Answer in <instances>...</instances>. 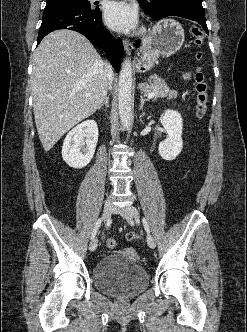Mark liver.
<instances>
[{
	"instance_id": "obj_1",
	"label": "liver",
	"mask_w": 247,
	"mask_h": 332,
	"mask_svg": "<svg viewBox=\"0 0 247 332\" xmlns=\"http://www.w3.org/2000/svg\"><path fill=\"white\" fill-rule=\"evenodd\" d=\"M31 86L37 132L48 152L104 101L105 63L83 35L57 30L34 52Z\"/></svg>"
}]
</instances>
